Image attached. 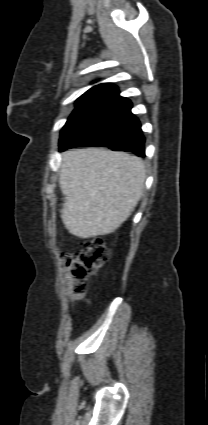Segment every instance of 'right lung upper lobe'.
Segmentation results:
<instances>
[{
    "label": "right lung upper lobe",
    "mask_w": 208,
    "mask_h": 425,
    "mask_svg": "<svg viewBox=\"0 0 208 425\" xmlns=\"http://www.w3.org/2000/svg\"><path fill=\"white\" fill-rule=\"evenodd\" d=\"M110 86H111L110 83L99 84V85H96V86H93L92 88H90L86 93L99 94Z\"/></svg>",
    "instance_id": "cb5924a9"
}]
</instances>
